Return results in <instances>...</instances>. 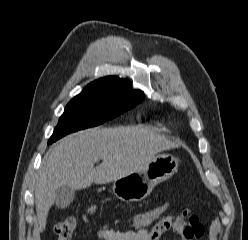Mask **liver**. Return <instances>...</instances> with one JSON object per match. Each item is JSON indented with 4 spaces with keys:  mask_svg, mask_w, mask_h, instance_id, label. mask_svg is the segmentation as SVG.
Segmentation results:
<instances>
[{
    "mask_svg": "<svg viewBox=\"0 0 248 240\" xmlns=\"http://www.w3.org/2000/svg\"><path fill=\"white\" fill-rule=\"evenodd\" d=\"M177 145L152 131L137 127L90 128L63 138L45 154L35 186L39 230L61 186L85 189L92 183L115 181L143 164L158 152ZM100 159L103 162L94 167Z\"/></svg>",
    "mask_w": 248,
    "mask_h": 240,
    "instance_id": "liver-1",
    "label": "liver"
}]
</instances>
